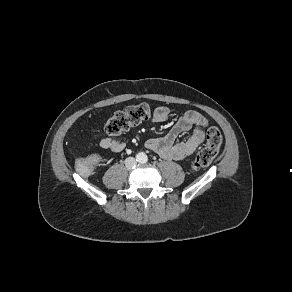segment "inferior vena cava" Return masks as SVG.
Here are the masks:
<instances>
[{
  "mask_svg": "<svg viewBox=\"0 0 292 292\" xmlns=\"http://www.w3.org/2000/svg\"><path fill=\"white\" fill-rule=\"evenodd\" d=\"M137 164V161L134 157H128L126 158L125 160V166L128 168V169H131L132 167H134L135 165Z\"/></svg>",
  "mask_w": 292,
  "mask_h": 292,
  "instance_id": "602c4592",
  "label": "inferior vena cava"
}]
</instances>
